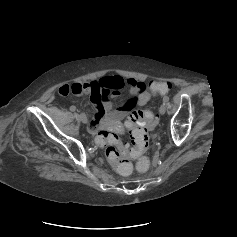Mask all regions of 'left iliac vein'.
Masks as SVG:
<instances>
[{
	"mask_svg": "<svg viewBox=\"0 0 237 237\" xmlns=\"http://www.w3.org/2000/svg\"><path fill=\"white\" fill-rule=\"evenodd\" d=\"M165 112H166V106H165V104H162L159 108V113L161 115H163V114H165Z\"/></svg>",
	"mask_w": 237,
	"mask_h": 237,
	"instance_id": "1",
	"label": "left iliac vein"
}]
</instances>
